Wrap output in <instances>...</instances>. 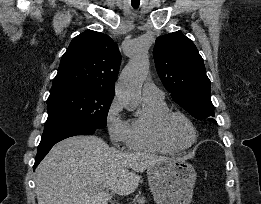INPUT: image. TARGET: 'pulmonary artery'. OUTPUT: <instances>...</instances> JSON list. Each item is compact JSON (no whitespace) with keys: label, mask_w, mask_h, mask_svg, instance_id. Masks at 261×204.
I'll use <instances>...</instances> for the list:
<instances>
[{"label":"pulmonary artery","mask_w":261,"mask_h":204,"mask_svg":"<svg viewBox=\"0 0 261 204\" xmlns=\"http://www.w3.org/2000/svg\"><path fill=\"white\" fill-rule=\"evenodd\" d=\"M143 99L159 100L164 99V93L153 83H146L142 90Z\"/></svg>","instance_id":"e3ab8cb5"}]
</instances>
